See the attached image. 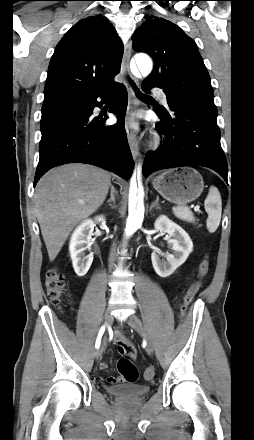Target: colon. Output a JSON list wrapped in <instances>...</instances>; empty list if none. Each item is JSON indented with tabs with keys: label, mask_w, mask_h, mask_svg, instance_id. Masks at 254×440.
<instances>
[{
	"label": "colon",
	"mask_w": 254,
	"mask_h": 440,
	"mask_svg": "<svg viewBox=\"0 0 254 440\" xmlns=\"http://www.w3.org/2000/svg\"><path fill=\"white\" fill-rule=\"evenodd\" d=\"M210 268V262L207 257H205L199 264L197 277L198 279L194 281L187 289L182 305V315H185L189 305L194 300L196 294L200 288V280L208 273ZM45 288L48 298L53 303H59L63 296L65 295V281L63 274L57 269L52 268L48 270L45 277ZM117 368L123 380L128 383H134L138 380L139 373L134 365V363L127 358H120L117 362ZM154 369L147 368L144 372V377L147 380H151L154 377Z\"/></svg>",
	"instance_id": "colon-1"
}]
</instances>
